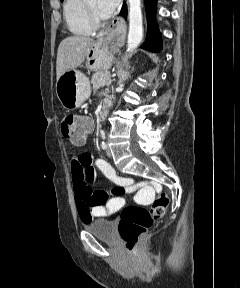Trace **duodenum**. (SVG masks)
<instances>
[{"instance_id": "duodenum-1", "label": "duodenum", "mask_w": 240, "mask_h": 288, "mask_svg": "<svg viewBox=\"0 0 240 288\" xmlns=\"http://www.w3.org/2000/svg\"><path fill=\"white\" fill-rule=\"evenodd\" d=\"M110 106H111V101L110 100L105 101L104 106L102 107L99 113L100 119H103L106 116Z\"/></svg>"}]
</instances>
